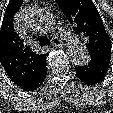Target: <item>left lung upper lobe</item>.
<instances>
[{"label": "left lung upper lobe", "instance_id": "left-lung-upper-lobe-1", "mask_svg": "<svg viewBox=\"0 0 113 113\" xmlns=\"http://www.w3.org/2000/svg\"><path fill=\"white\" fill-rule=\"evenodd\" d=\"M55 2L74 26L75 32L85 38L91 60L109 66L111 40L92 0H55Z\"/></svg>", "mask_w": 113, "mask_h": 113}]
</instances>
